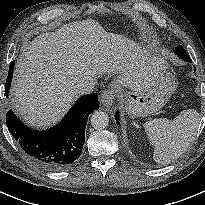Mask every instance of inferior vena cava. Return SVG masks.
<instances>
[{
  "label": "inferior vena cava",
  "mask_w": 205,
  "mask_h": 205,
  "mask_svg": "<svg viewBox=\"0 0 205 205\" xmlns=\"http://www.w3.org/2000/svg\"><path fill=\"white\" fill-rule=\"evenodd\" d=\"M95 84L96 81L93 78L83 79L73 87L72 92L76 96L90 94L93 92Z\"/></svg>",
  "instance_id": "602c4592"
}]
</instances>
